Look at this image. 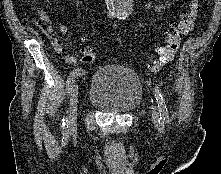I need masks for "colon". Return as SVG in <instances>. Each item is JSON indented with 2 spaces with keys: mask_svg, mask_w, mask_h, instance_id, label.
Masks as SVG:
<instances>
[{
  "mask_svg": "<svg viewBox=\"0 0 221 174\" xmlns=\"http://www.w3.org/2000/svg\"><path fill=\"white\" fill-rule=\"evenodd\" d=\"M200 8L201 0H189L187 9L180 19L170 23L165 31L166 42L157 50V55L151 62L150 69L152 72H158L173 59L181 39L194 28ZM95 59L96 56L92 49L90 47L85 48L82 61L84 63H93Z\"/></svg>",
  "mask_w": 221,
  "mask_h": 174,
  "instance_id": "1",
  "label": "colon"
}]
</instances>
